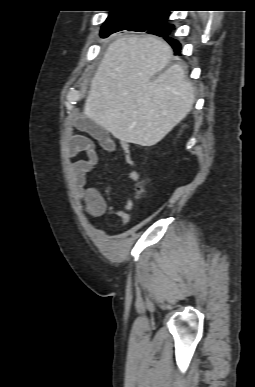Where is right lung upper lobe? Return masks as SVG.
Segmentation results:
<instances>
[{
    "label": "right lung upper lobe",
    "instance_id": "1",
    "mask_svg": "<svg viewBox=\"0 0 255 387\" xmlns=\"http://www.w3.org/2000/svg\"><path fill=\"white\" fill-rule=\"evenodd\" d=\"M127 1H140V0H127ZM142 1V0H141ZM143 1H148V0H143ZM161 10H156V9H120V10H115L112 11L111 14H120V13H127V12H157Z\"/></svg>",
    "mask_w": 255,
    "mask_h": 387
}]
</instances>
